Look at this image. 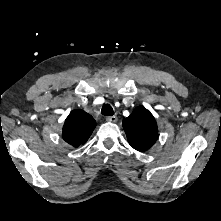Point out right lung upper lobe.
Wrapping results in <instances>:
<instances>
[{
  "instance_id": "1",
  "label": "right lung upper lobe",
  "mask_w": 221,
  "mask_h": 221,
  "mask_svg": "<svg viewBox=\"0 0 221 221\" xmlns=\"http://www.w3.org/2000/svg\"><path fill=\"white\" fill-rule=\"evenodd\" d=\"M95 127L96 121L90 114L76 109L66 118L62 137L68 144L78 147L86 143Z\"/></svg>"
}]
</instances>
